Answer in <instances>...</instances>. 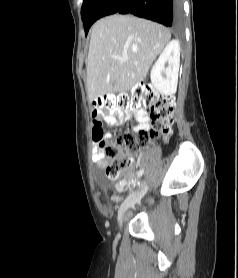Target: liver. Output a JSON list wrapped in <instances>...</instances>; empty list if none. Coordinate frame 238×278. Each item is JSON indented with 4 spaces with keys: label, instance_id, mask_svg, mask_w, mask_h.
<instances>
[{
    "label": "liver",
    "instance_id": "6515ba94",
    "mask_svg": "<svg viewBox=\"0 0 238 278\" xmlns=\"http://www.w3.org/2000/svg\"><path fill=\"white\" fill-rule=\"evenodd\" d=\"M170 39L164 26L131 15L98 20L91 30L86 61L89 101L129 91L143 81ZM124 56L128 60L123 61Z\"/></svg>",
    "mask_w": 238,
    "mask_h": 278
}]
</instances>
